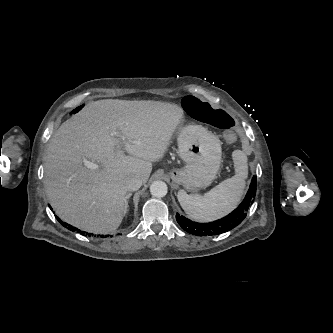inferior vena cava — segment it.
I'll use <instances>...</instances> for the list:
<instances>
[{"label":"inferior vena cava","mask_w":333,"mask_h":333,"mask_svg":"<svg viewBox=\"0 0 333 333\" xmlns=\"http://www.w3.org/2000/svg\"><path fill=\"white\" fill-rule=\"evenodd\" d=\"M142 185V180L138 177H128L125 180V188L127 191H136Z\"/></svg>","instance_id":"1"}]
</instances>
